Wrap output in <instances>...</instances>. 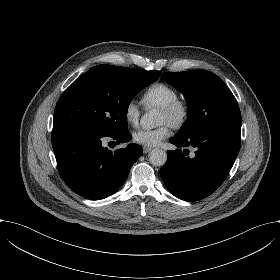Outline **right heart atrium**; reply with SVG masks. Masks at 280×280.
Here are the masks:
<instances>
[{
    "label": "right heart atrium",
    "instance_id": "d8ad5b80",
    "mask_svg": "<svg viewBox=\"0 0 280 280\" xmlns=\"http://www.w3.org/2000/svg\"><path fill=\"white\" fill-rule=\"evenodd\" d=\"M140 110L135 100H129L124 106V117L128 123L136 124L138 122Z\"/></svg>",
    "mask_w": 280,
    "mask_h": 280
}]
</instances>
